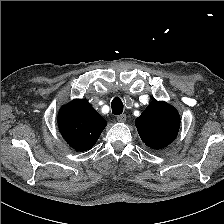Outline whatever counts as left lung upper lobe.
Segmentation results:
<instances>
[{
	"label": "left lung upper lobe",
	"instance_id": "obj_1",
	"mask_svg": "<svg viewBox=\"0 0 224 224\" xmlns=\"http://www.w3.org/2000/svg\"><path fill=\"white\" fill-rule=\"evenodd\" d=\"M142 141L150 148L160 149L172 143L179 131L178 111L163 101H152L135 121Z\"/></svg>",
	"mask_w": 224,
	"mask_h": 224
}]
</instances>
